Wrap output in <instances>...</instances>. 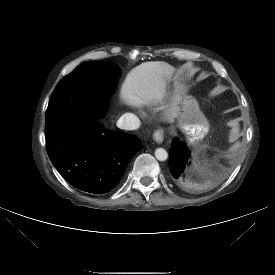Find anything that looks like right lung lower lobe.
I'll return each instance as SVG.
<instances>
[{"label": "right lung lower lobe", "mask_w": 275, "mask_h": 275, "mask_svg": "<svg viewBox=\"0 0 275 275\" xmlns=\"http://www.w3.org/2000/svg\"><path fill=\"white\" fill-rule=\"evenodd\" d=\"M116 80L106 83L105 96L112 94ZM141 148L136 136L105 129L98 118L82 117L46 131L47 153L58 172L72 186L93 194L115 188Z\"/></svg>", "instance_id": "98d812e1"}]
</instances>
